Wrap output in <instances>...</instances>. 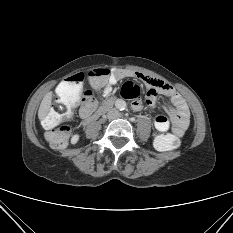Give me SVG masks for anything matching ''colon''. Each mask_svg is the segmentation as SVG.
Masks as SVG:
<instances>
[{
	"label": "colon",
	"instance_id": "obj_1",
	"mask_svg": "<svg viewBox=\"0 0 233 233\" xmlns=\"http://www.w3.org/2000/svg\"><path fill=\"white\" fill-rule=\"evenodd\" d=\"M110 75L109 69L96 68L88 73L87 80L90 89L82 90L85 76L83 73L72 75L63 81L57 90L58 98L43 120L46 131V139L55 149L64 148L68 142L71 128L61 124L64 118L70 116L71 108L78 102L82 95L83 101L89 105L95 104L94 91L103 87ZM132 82H126L122 87V93L128 97L133 89ZM154 144L161 151L173 150L179 147L180 140L171 134H161L155 138Z\"/></svg>",
	"mask_w": 233,
	"mask_h": 233
}]
</instances>
